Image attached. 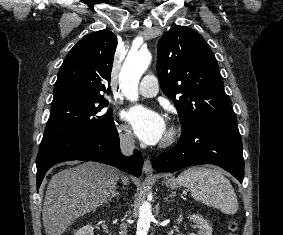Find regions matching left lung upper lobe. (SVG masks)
<instances>
[{
	"label": "left lung upper lobe",
	"instance_id": "obj_1",
	"mask_svg": "<svg viewBox=\"0 0 283 235\" xmlns=\"http://www.w3.org/2000/svg\"><path fill=\"white\" fill-rule=\"evenodd\" d=\"M157 73L163 93L175 100L182 132L235 120L216 58L196 31L176 26L161 37Z\"/></svg>",
	"mask_w": 283,
	"mask_h": 235
}]
</instances>
